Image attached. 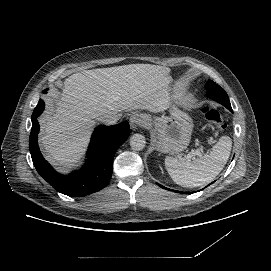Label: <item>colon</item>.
I'll use <instances>...</instances> for the list:
<instances>
[{
	"label": "colon",
	"instance_id": "1",
	"mask_svg": "<svg viewBox=\"0 0 271 271\" xmlns=\"http://www.w3.org/2000/svg\"><path fill=\"white\" fill-rule=\"evenodd\" d=\"M202 114L208 122L214 124L219 130H223L225 128V123L217 110L209 106H205L202 108Z\"/></svg>",
	"mask_w": 271,
	"mask_h": 271
}]
</instances>
